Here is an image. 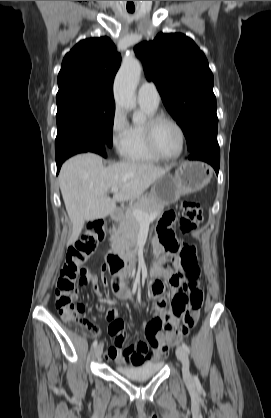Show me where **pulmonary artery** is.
<instances>
[{
	"label": "pulmonary artery",
	"mask_w": 271,
	"mask_h": 418,
	"mask_svg": "<svg viewBox=\"0 0 271 418\" xmlns=\"http://www.w3.org/2000/svg\"><path fill=\"white\" fill-rule=\"evenodd\" d=\"M137 98L139 104L157 109L160 103V94L153 83L144 82L138 89Z\"/></svg>",
	"instance_id": "obj_1"
}]
</instances>
